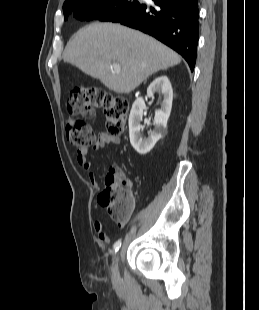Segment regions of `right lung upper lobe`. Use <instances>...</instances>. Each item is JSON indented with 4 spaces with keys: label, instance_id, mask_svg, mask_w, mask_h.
Here are the masks:
<instances>
[{
    "label": "right lung upper lobe",
    "instance_id": "right-lung-upper-lobe-1",
    "mask_svg": "<svg viewBox=\"0 0 259 310\" xmlns=\"http://www.w3.org/2000/svg\"><path fill=\"white\" fill-rule=\"evenodd\" d=\"M97 1H100V0H66L63 5H67L69 3H74V2L80 3V4H88V3H93Z\"/></svg>",
    "mask_w": 259,
    "mask_h": 310
}]
</instances>
